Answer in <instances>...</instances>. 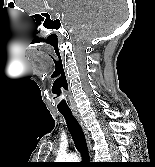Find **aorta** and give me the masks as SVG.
Returning <instances> with one entry per match:
<instances>
[{
	"label": "aorta",
	"instance_id": "762f6f07",
	"mask_svg": "<svg viewBox=\"0 0 155 167\" xmlns=\"http://www.w3.org/2000/svg\"><path fill=\"white\" fill-rule=\"evenodd\" d=\"M59 162H77L79 160L76 154L59 155L56 159Z\"/></svg>",
	"mask_w": 155,
	"mask_h": 167
}]
</instances>
